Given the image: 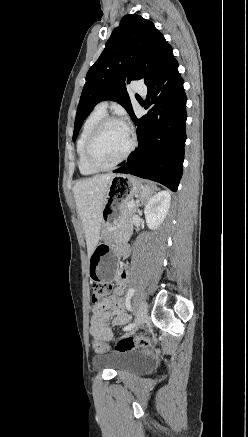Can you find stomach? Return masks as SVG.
Instances as JSON below:
<instances>
[{
	"label": "stomach",
	"mask_w": 248,
	"mask_h": 437,
	"mask_svg": "<svg viewBox=\"0 0 248 437\" xmlns=\"http://www.w3.org/2000/svg\"><path fill=\"white\" fill-rule=\"evenodd\" d=\"M144 187L141 181L129 174L116 175L109 184L101 214L102 240L89 258L87 273L93 279V286H113L118 256L114 252L115 234L119 230L123 205L134 197H142ZM148 195L151 191L147 192Z\"/></svg>",
	"instance_id": "stomach-1"
}]
</instances>
